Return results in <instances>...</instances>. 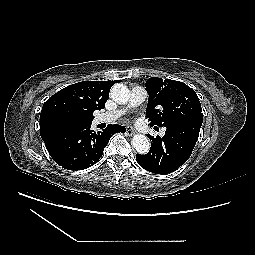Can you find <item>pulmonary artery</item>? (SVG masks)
Here are the masks:
<instances>
[{
    "label": "pulmonary artery",
    "instance_id": "obj_1",
    "mask_svg": "<svg viewBox=\"0 0 255 255\" xmlns=\"http://www.w3.org/2000/svg\"><path fill=\"white\" fill-rule=\"evenodd\" d=\"M147 93L141 86H135L130 92L129 102L126 107L118 108L113 111L103 112L96 118L98 123H111L122 115H124L130 108L136 107L145 101Z\"/></svg>",
    "mask_w": 255,
    "mask_h": 255
}]
</instances>
